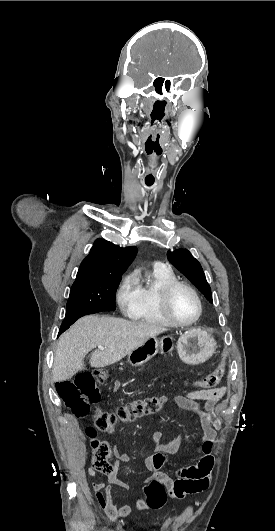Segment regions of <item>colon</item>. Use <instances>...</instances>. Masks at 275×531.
<instances>
[{
	"label": "colon",
	"mask_w": 275,
	"mask_h": 531,
	"mask_svg": "<svg viewBox=\"0 0 275 531\" xmlns=\"http://www.w3.org/2000/svg\"><path fill=\"white\" fill-rule=\"evenodd\" d=\"M225 370L226 357L222 356L216 368L205 377L198 379L196 383L202 390L214 389L223 379ZM107 379L108 372L104 370L82 371L75 376L73 381H58L55 385V391L76 417L86 418L90 412V405L96 403L100 398L98 385L105 383ZM166 402L167 398L163 395L137 400L113 412L99 411L94 415V422H99L103 433H111L118 424H124L138 417L160 411ZM87 435L92 445L95 446L97 433L91 425L87 429ZM95 467L98 470L109 469V466L104 465L100 459L96 460ZM145 489L148 495L145 507L150 511L164 509L166 506L164 486L159 484L156 487L154 483L149 482Z\"/></svg>",
	"instance_id": "colon-1"
}]
</instances>
